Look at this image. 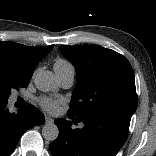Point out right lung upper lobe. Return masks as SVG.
Segmentation results:
<instances>
[{"mask_svg": "<svg viewBox=\"0 0 156 156\" xmlns=\"http://www.w3.org/2000/svg\"><path fill=\"white\" fill-rule=\"evenodd\" d=\"M47 47H28L15 42L0 41V71L30 80L37 64L51 51Z\"/></svg>", "mask_w": 156, "mask_h": 156, "instance_id": "1", "label": "right lung upper lobe"}]
</instances>
